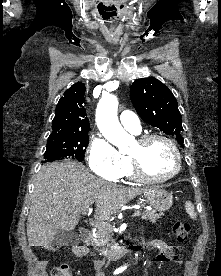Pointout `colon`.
I'll list each match as a JSON object with an SVG mask.
<instances>
[{
    "instance_id": "5ec220e1",
    "label": "colon",
    "mask_w": 221,
    "mask_h": 276,
    "mask_svg": "<svg viewBox=\"0 0 221 276\" xmlns=\"http://www.w3.org/2000/svg\"><path fill=\"white\" fill-rule=\"evenodd\" d=\"M190 232V224L187 222H175L173 225V234L178 242H184L188 238ZM50 251H56L57 247H48ZM51 276H71L68 265L61 264L52 270Z\"/></svg>"
}]
</instances>
